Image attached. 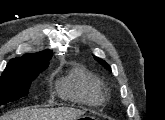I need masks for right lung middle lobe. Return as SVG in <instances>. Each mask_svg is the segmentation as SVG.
I'll return each instance as SVG.
<instances>
[{"label": "right lung middle lobe", "instance_id": "dd1d6c3e", "mask_svg": "<svg viewBox=\"0 0 165 120\" xmlns=\"http://www.w3.org/2000/svg\"><path fill=\"white\" fill-rule=\"evenodd\" d=\"M48 63L7 66L0 78V106L27 96L31 82Z\"/></svg>", "mask_w": 165, "mask_h": 120}]
</instances>
